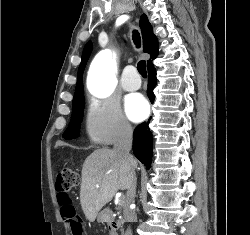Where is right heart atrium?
I'll return each instance as SVG.
<instances>
[{
  "label": "right heart atrium",
  "mask_w": 250,
  "mask_h": 235,
  "mask_svg": "<svg viewBox=\"0 0 250 235\" xmlns=\"http://www.w3.org/2000/svg\"><path fill=\"white\" fill-rule=\"evenodd\" d=\"M85 131L96 143L113 144L132 137L133 128L119 105L109 99L92 98L87 104Z\"/></svg>",
  "instance_id": "right-heart-atrium-1"
}]
</instances>
